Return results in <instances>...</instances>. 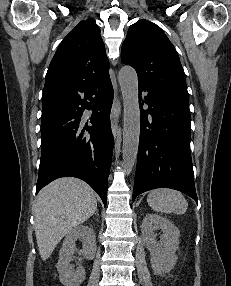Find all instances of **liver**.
<instances>
[{"label":"liver","instance_id":"1","mask_svg":"<svg viewBox=\"0 0 231 286\" xmlns=\"http://www.w3.org/2000/svg\"><path fill=\"white\" fill-rule=\"evenodd\" d=\"M97 209L94 191L84 181L65 177L44 187L33 208L40 256L47 260L61 239Z\"/></svg>","mask_w":231,"mask_h":286}]
</instances>
